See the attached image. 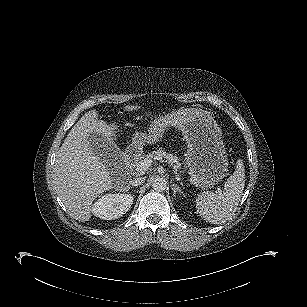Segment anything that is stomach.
I'll use <instances>...</instances> for the list:
<instances>
[{"instance_id":"0dacf381","label":"stomach","mask_w":307,"mask_h":307,"mask_svg":"<svg viewBox=\"0 0 307 307\" xmlns=\"http://www.w3.org/2000/svg\"><path fill=\"white\" fill-rule=\"evenodd\" d=\"M169 127L178 128L186 141L185 163L192 180L201 188L218 184L225 175L227 158L221 131L209 112L201 108H180L155 117L149 124V134L137 136L134 145L159 140Z\"/></svg>"}]
</instances>
